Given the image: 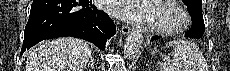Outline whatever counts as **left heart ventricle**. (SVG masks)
Listing matches in <instances>:
<instances>
[{
    "mask_svg": "<svg viewBox=\"0 0 230 71\" xmlns=\"http://www.w3.org/2000/svg\"><path fill=\"white\" fill-rule=\"evenodd\" d=\"M152 7L154 9V18L152 23L163 25H174L178 22L179 18L176 12L169 8H164L152 1Z\"/></svg>",
    "mask_w": 230,
    "mask_h": 71,
    "instance_id": "b2bd125f",
    "label": "left heart ventricle"
}]
</instances>
